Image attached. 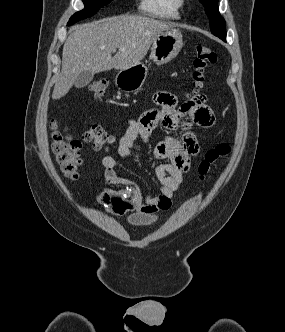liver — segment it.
I'll use <instances>...</instances> for the list:
<instances>
[{
	"label": "liver",
	"mask_w": 285,
	"mask_h": 332,
	"mask_svg": "<svg viewBox=\"0 0 285 332\" xmlns=\"http://www.w3.org/2000/svg\"><path fill=\"white\" fill-rule=\"evenodd\" d=\"M172 24L143 16L120 15L72 27L62 53V68L52 99L64 97L84 71L99 73L138 65L151 44ZM119 50L113 57L112 51Z\"/></svg>",
	"instance_id": "liver-1"
}]
</instances>
